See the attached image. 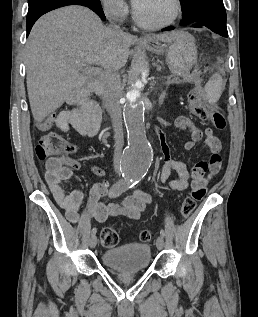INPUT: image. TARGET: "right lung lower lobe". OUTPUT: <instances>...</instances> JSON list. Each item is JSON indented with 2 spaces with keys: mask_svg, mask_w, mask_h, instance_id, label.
Returning a JSON list of instances; mask_svg holds the SVG:
<instances>
[{
  "mask_svg": "<svg viewBox=\"0 0 258 317\" xmlns=\"http://www.w3.org/2000/svg\"><path fill=\"white\" fill-rule=\"evenodd\" d=\"M27 36L36 20L43 14L67 5H82L93 10L102 20H106L99 0H28Z\"/></svg>",
  "mask_w": 258,
  "mask_h": 317,
  "instance_id": "1",
  "label": "right lung lower lobe"
}]
</instances>
